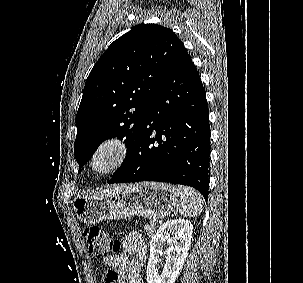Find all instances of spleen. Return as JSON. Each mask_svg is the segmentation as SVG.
Returning a JSON list of instances; mask_svg holds the SVG:
<instances>
[{
	"mask_svg": "<svg viewBox=\"0 0 303 283\" xmlns=\"http://www.w3.org/2000/svg\"><path fill=\"white\" fill-rule=\"evenodd\" d=\"M181 205L179 213L183 216H198L203 210L201 195L193 188L179 186Z\"/></svg>",
	"mask_w": 303,
	"mask_h": 283,
	"instance_id": "3e777b00",
	"label": "spleen"
}]
</instances>
